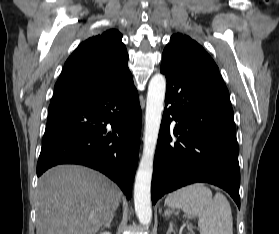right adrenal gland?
I'll use <instances>...</instances> for the list:
<instances>
[{"mask_svg":"<svg viewBox=\"0 0 279 234\" xmlns=\"http://www.w3.org/2000/svg\"><path fill=\"white\" fill-rule=\"evenodd\" d=\"M113 218H114V214L111 216V218L109 219V221L104 225V228H105V227L110 228V224H111Z\"/></svg>","mask_w":279,"mask_h":234,"instance_id":"2a0ac1e0","label":"right adrenal gland"}]
</instances>
